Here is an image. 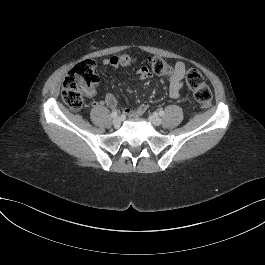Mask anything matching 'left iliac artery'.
I'll return each mask as SVG.
<instances>
[{"instance_id": "obj_1", "label": "left iliac artery", "mask_w": 265, "mask_h": 265, "mask_svg": "<svg viewBox=\"0 0 265 265\" xmlns=\"http://www.w3.org/2000/svg\"><path fill=\"white\" fill-rule=\"evenodd\" d=\"M164 114H165V113H164L163 110H160V111H159V115H160V116H164Z\"/></svg>"}]
</instances>
